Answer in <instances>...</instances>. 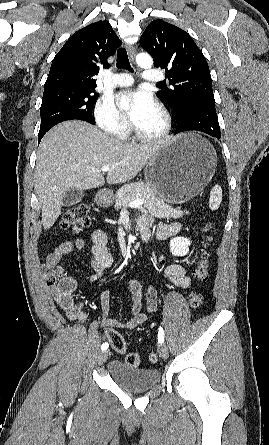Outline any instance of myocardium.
Listing matches in <instances>:
<instances>
[{"label": "myocardium", "mask_w": 269, "mask_h": 445, "mask_svg": "<svg viewBox=\"0 0 269 445\" xmlns=\"http://www.w3.org/2000/svg\"><path fill=\"white\" fill-rule=\"evenodd\" d=\"M156 108L158 109L163 118V127L159 132L155 134H144L140 130H138L136 126H133V132L135 136L141 141L153 142V141L163 140L169 135L172 129V118L168 110L161 104H156Z\"/></svg>", "instance_id": "myocardium-1"}]
</instances>
